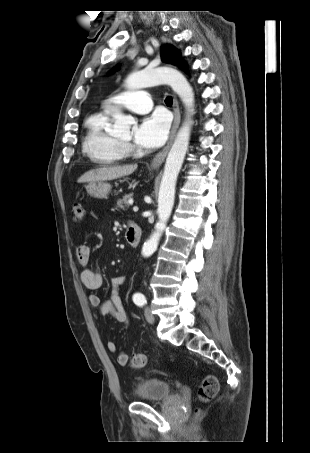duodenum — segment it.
<instances>
[{"label": "duodenum", "instance_id": "410a0bca", "mask_svg": "<svg viewBox=\"0 0 310 453\" xmlns=\"http://www.w3.org/2000/svg\"><path fill=\"white\" fill-rule=\"evenodd\" d=\"M142 237V231L140 227L136 224H131L126 232L127 242L131 247L138 246L140 239Z\"/></svg>", "mask_w": 310, "mask_h": 453}]
</instances>
